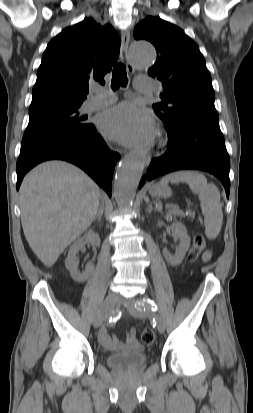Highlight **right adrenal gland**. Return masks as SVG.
<instances>
[{
  "instance_id": "2a0ac1e0",
  "label": "right adrenal gland",
  "mask_w": 253,
  "mask_h": 413,
  "mask_svg": "<svg viewBox=\"0 0 253 413\" xmlns=\"http://www.w3.org/2000/svg\"><path fill=\"white\" fill-rule=\"evenodd\" d=\"M103 210H104L103 205H101L100 208H99V210H98V212H97V214H96V216H95V218H94V220H93L94 222H95L96 220L101 221V217H102V214H103Z\"/></svg>"
}]
</instances>
